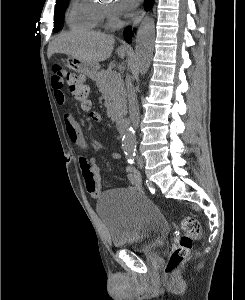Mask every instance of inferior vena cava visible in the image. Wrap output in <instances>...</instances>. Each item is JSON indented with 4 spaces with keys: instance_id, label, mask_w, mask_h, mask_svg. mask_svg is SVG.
Instances as JSON below:
<instances>
[{
    "instance_id": "1",
    "label": "inferior vena cava",
    "mask_w": 245,
    "mask_h": 300,
    "mask_svg": "<svg viewBox=\"0 0 245 300\" xmlns=\"http://www.w3.org/2000/svg\"><path fill=\"white\" fill-rule=\"evenodd\" d=\"M127 98H128L130 120L132 125L136 129L139 125V106L137 102L136 93L131 85L130 78L128 75H127Z\"/></svg>"
}]
</instances>
